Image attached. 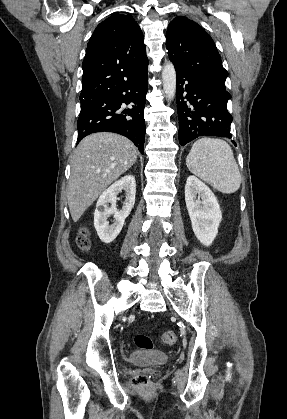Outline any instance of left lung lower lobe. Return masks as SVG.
<instances>
[{
	"instance_id": "left-lung-lower-lobe-1",
	"label": "left lung lower lobe",
	"mask_w": 287,
	"mask_h": 419,
	"mask_svg": "<svg viewBox=\"0 0 287 419\" xmlns=\"http://www.w3.org/2000/svg\"><path fill=\"white\" fill-rule=\"evenodd\" d=\"M176 76L179 143L184 146L201 136L232 139V116L227 110L231 96L225 84L179 72H176Z\"/></svg>"
}]
</instances>
